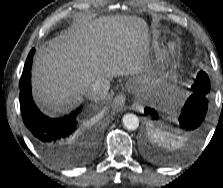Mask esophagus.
I'll return each instance as SVG.
<instances>
[{
    "mask_svg": "<svg viewBox=\"0 0 223 188\" xmlns=\"http://www.w3.org/2000/svg\"><path fill=\"white\" fill-rule=\"evenodd\" d=\"M126 96L124 94L117 95L112 104L111 108L116 112H121L125 110Z\"/></svg>",
    "mask_w": 223,
    "mask_h": 188,
    "instance_id": "obj_1",
    "label": "esophagus"
}]
</instances>
